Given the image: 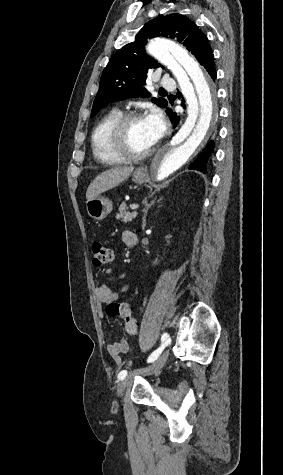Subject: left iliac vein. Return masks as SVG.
<instances>
[{
    "label": "left iliac vein",
    "instance_id": "left-iliac-vein-1",
    "mask_svg": "<svg viewBox=\"0 0 283 475\" xmlns=\"http://www.w3.org/2000/svg\"><path fill=\"white\" fill-rule=\"evenodd\" d=\"M170 342L168 341V344ZM167 357H168V354L167 352H164L159 358H157V360L151 364L148 368H145L143 370H139L137 371L136 373L137 374H146V375H151L153 373H158L162 370V368L164 367L166 361H167ZM132 381V377L131 376H128L126 378H124L121 382L118 383L117 385V394L119 397H122L123 396V393L124 391L127 389V387L129 386V384L131 383Z\"/></svg>",
    "mask_w": 283,
    "mask_h": 475
}]
</instances>
